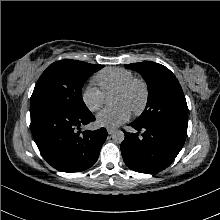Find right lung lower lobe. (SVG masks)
Instances as JSON below:
<instances>
[{
    "label": "right lung lower lobe",
    "instance_id": "obj_1",
    "mask_svg": "<svg viewBox=\"0 0 220 220\" xmlns=\"http://www.w3.org/2000/svg\"><path fill=\"white\" fill-rule=\"evenodd\" d=\"M31 130L43 158L62 172H79L97 161L107 131L81 132L80 126L95 120L90 111L74 112L48 103L30 104Z\"/></svg>",
    "mask_w": 220,
    "mask_h": 220
}]
</instances>
